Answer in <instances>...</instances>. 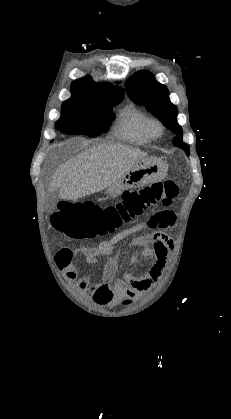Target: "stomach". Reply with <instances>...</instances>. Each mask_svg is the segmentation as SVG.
<instances>
[{
  "instance_id": "0dacf381",
  "label": "stomach",
  "mask_w": 231,
  "mask_h": 419,
  "mask_svg": "<svg viewBox=\"0 0 231 419\" xmlns=\"http://www.w3.org/2000/svg\"><path fill=\"white\" fill-rule=\"evenodd\" d=\"M166 174L167 165L163 160L156 157L139 159L128 172L107 188V194L110 197H117L125 190L161 181Z\"/></svg>"
}]
</instances>
